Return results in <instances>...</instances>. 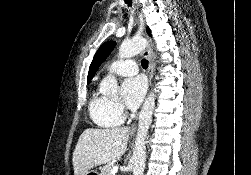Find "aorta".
Returning a JSON list of instances; mask_svg holds the SVG:
<instances>
[{
  "label": "aorta",
  "mask_w": 251,
  "mask_h": 175,
  "mask_svg": "<svg viewBox=\"0 0 251 175\" xmlns=\"http://www.w3.org/2000/svg\"><path fill=\"white\" fill-rule=\"evenodd\" d=\"M146 44L147 40H143V38H132V40H128V42H122L119 50V58H133V56H136V54H140V52L144 50ZM118 88L119 86L114 76H107V78H104V80H102L100 84V89L102 93H104V95H107V93H109V95H116ZM154 109L155 93L154 91H150L139 113L138 129L133 147L134 175H143V171L145 169V139L148 133V129L151 125Z\"/></svg>",
  "instance_id": "obj_1"
}]
</instances>
